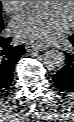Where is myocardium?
<instances>
[{
    "mask_svg": "<svg viewBox=\"0 0 74 122\" xmlns=\"http://www.w3.org/2000/svg\"><path fill=\"white\" fill-rule=\"evenodd\" d=\"M71 2V19L72 21L74 20V1H70Z\"/></svg>",
    "mask_w": 74,
    "mask_h": 122,
    "instance_id": "1",
    "label": "myocardium"
}]
</instances>
